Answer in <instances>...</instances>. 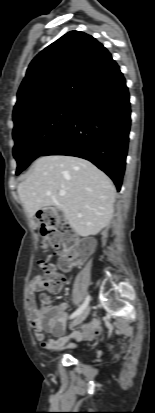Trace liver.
I'll use <instances>...</instances> for the list:
<instances>
[{
  "instance_id": "obj_1",
  "label": "liver",
  "mask_w": 155,
  "mask_h": 413,
  "mask_svg": "<svg viewBox=\"0 0 155 413\" xmlns=\"http://www.w3.org/2000/svg\"><path fill=\"white\" fill-rule=\"evenodd\" d=\"M66 194L61 196L59 192ZM116 189L110 178L91 162L65 155L38 158L18 195L29 218L47 206L62 210L80 236L98 234L113 215Z\"/></svg>"
}]
</instances>
